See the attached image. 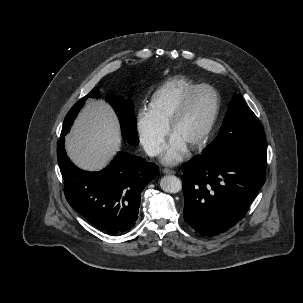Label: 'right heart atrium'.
<instances>
[{
	"mask_svg": "<svg viewBox=\"0 0 303 303\" xmlns=\"http://www.w3.org/2000/svg\"><path fill=\"white\" fill-rule=\"evenodd\" d=\"M136 129L147 154H160L167 135V125L157 120L149 109L141 108L136 115Z\"/></svg>",
	"mask_w": 303,
	"mask_h": 303,
	"instance_id": "1",
	"label": "right heart atrium"
}]
</instances>
